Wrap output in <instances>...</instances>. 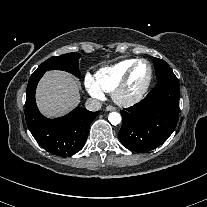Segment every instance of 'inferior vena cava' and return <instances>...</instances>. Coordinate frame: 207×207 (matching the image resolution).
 <instances>
[{
	"instance_id": "obj_1",
	"label": "inferior vena cava",
	"mask_w": 207,
	"mask_h": 207,
	"mask_svg": "<svg viewBox=\"0 0 207 207\" xmlns=\"http://www.w3.org/2000/svg\"><path fill=\"white\" fill-rule=\"evenodd\" d=\"M85 107L89 111H98L102 107V103L97 99L89 98L85 103Z\"/></svg>"
}]
</instances>
